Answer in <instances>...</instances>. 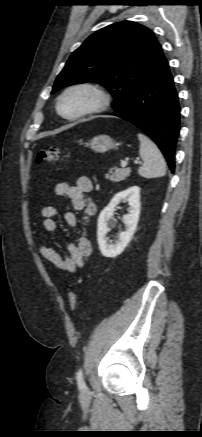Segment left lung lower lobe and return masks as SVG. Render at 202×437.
<instances>
[{
	"label": "left lung lower lobe",
	"instance_id": "0a47b994",
	"mask_svg": "<svg viewBox=\"0 0 202 437\" xmlns=\"http://www.w3.org/2000/svg\"><path fill=\"white\" fill-rule=\"evenodd\" d=\"M112 115L133 123L153 139L174 172L180 106L167 60L160 71L115 108Z\"/></svg>",
	"mask_w": 202,
	"mask_h": 437
}]
</instances>
